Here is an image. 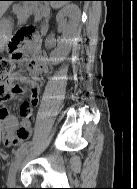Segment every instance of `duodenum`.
<instances>
[{"mask_svg":"<svg viewBox=\"0 0 137 189\" xmlns=\"http://www.w3.org/2000/svg\"><path fill=\"white\" fill-rule=\"evenodd\" d=\"M35 58H36L37 60L42 59L38 53L35 55Z\"/></svg>","mask_w":137,"mask_h":189,"instance_id":"1","label":"duodenum"}]
</instances>
